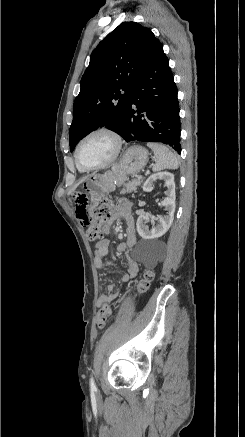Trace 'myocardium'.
<instances>
[{
    "instance_id": "myocardium-1",
    "label": "myocardium",
    "mask_w": 245,
    "mask_h": 437,
    "mask_svg": "<svg viewBox=\"0 0 245 437\" xmlns=\"http://www.w3.org/2000/svg\"><path fill=\"white\" fill-rule=\"evenodd\" d=\"M96 134H105V135L110 136L114 141V151H113L112 155L110 156V158L101 164L92 165V166L85 165L81 162L80 157H79L80 147L88 138H90L91 136L96 135ZM123 145H124L123 137L121 136V134L117 130H115L111 127H107V126L96 127L94 129L88 131L86 134H84L80 138L78 143L76 144L75 151H74V157H75L76 164L80 168H82L84 170H88V171L105 168V167L111 165L113 162H115L118 159V157L120 156V154L122 152Z\"/></svg>"
}]
</instances>
